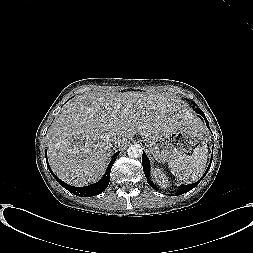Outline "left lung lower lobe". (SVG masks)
Instances as JSON below:
<instances>
[{
	"label": "left lung lower lobe",
	"mask_w": 253,
	"mask_h": 253,
	"mask_svg": "<svg viewBox=\"0 0 253 253\" xmlns=\"http://www.w3.org/2000/svg\"><path fill=\"white\" fill-rule=\"evenodd\" d=\"M196 112L199 113L201 116H203V118L205 119L206 121V125L207 127L209 128V124H208V121L203 113V111L200 109V108H196ZM212 158V156H211ZM211 162H212V159H211ZM142 165H143V170H144V173H145V176L147 178V182L148 184L157 190L156 186L153 184V182L150 180V162H149V159L148 157L146 156V154L143 152V155H142ZM211 166V163L208 167V169L206 170L205 174L203 175V177L206 175V173L208 172L209 168ZM203 177L198 180L197 182L193 183V184H189V185H181L179 187V190L177 191V193L175 194L176 196L178 195H181V194H184L190 190H192L194 187L197 186V184L203 179Z\"/></svg>",
	"instance_id": "1"
}]
</instances>
